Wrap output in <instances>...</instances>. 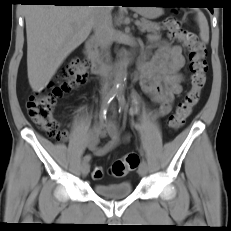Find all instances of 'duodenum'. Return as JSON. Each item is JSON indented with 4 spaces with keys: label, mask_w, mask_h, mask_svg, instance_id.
Instances as JSON below:
<instances>
[{
    "label": "duodenum",
    "mask_w": 231,
    "mask_h": 231,
    "mask_svg": "<svg viewBox=\"0 0 231 231\" xmlns=\"http://www.w3.org/2000/svg\"><path fill=\"white\" fill-rule=\"evenodd\" d=\"M84 52L88 61L91 63L92 72L96 75L104 74L106 72V69L97 50L95 40L90 39L86 42L84 46Z\"/></svg>",
    "instance_id": "duodenum-1"
}]
</instances>
